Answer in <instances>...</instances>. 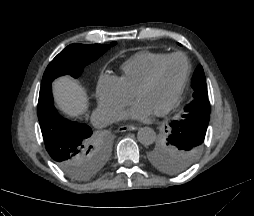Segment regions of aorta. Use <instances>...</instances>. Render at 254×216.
I'll use <instances>...</instances> for the list:
<instances>
[{
	"mask_svg": "<svg viewBox=\"0 0 254 216\" xmlns=\"http://www.w3.org/2000/svg\"><path fill=\"white\" fill-rule=\"evenodd\" d=\"M156 138L155 131L150 127H142L138 130L137 139L142 145H151Z\"/></svg>",
	"mask_w": 254,
	"mask_h": 216,
	"instance_id": "1",
	"label": "aorta"
}]
</instances>
